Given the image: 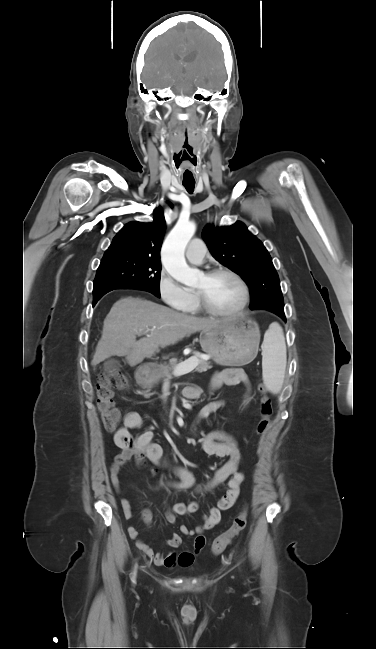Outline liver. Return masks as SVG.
<instances>
[{
	"label": "liver",
	"instance_id": "liver-1",
	"mask_svg": "<svg viewBox=\"0 0 376 649\" xmlns=\"http://www.w3.org/2000/svg\"><path fill=\"white\" fill-rule=\"evenodd\" d=\"M220 322L214 318L188 316L140 298H122L114 303L104 320L91 364L96 366L111 356H126L128 364L135 366L155 355L160 348ZM146 331L149 334L136 341V336Z\"/></svg>",
	"mask_w": 376,
	"mask_h": 649
}]
</instances>
